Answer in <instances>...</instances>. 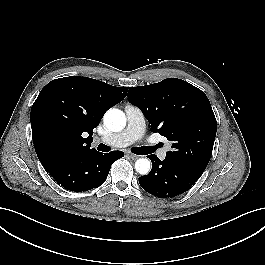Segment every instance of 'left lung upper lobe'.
I'll use <instances>...</instances> for the list:
<instances>
[{
    "label": "left lung upper lobe",
    "instance_id": "obj_1",
    "mask_svg": "<svg viewBox=\"0 0 265 265\" xmlns=\"http://www.w3.org/2000/svg\"><path fill=\"white\" fill-rule=\"evenodd\" d=\"M128 100L151 124L172 141L165 160L202 175L212 154L217 122L207 96L188 82L167 78L130 87Z\"/></svg>",
    "mask_w": 265,
    "mask_h": 265
}]
</instances>
